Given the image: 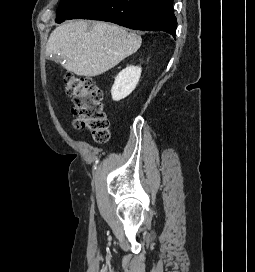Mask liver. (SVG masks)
<instances>
[{"instance_id":"6515ba94","label":"liver","mask_w":255,"mask_h":272,"mask_svg":"<svg viewBox=\"0 0 255 272\" xmlns=\"http://www.w3.org/2000/svg\"><path fill=\"white\" fill-rule=\"evenodd\" d=\"M139 35L122 27L97 22L71 21L56 27L46 44V55L62 62L79 76L94 77L116 66L141 46Z\"/></svg>"}]
</instances>
